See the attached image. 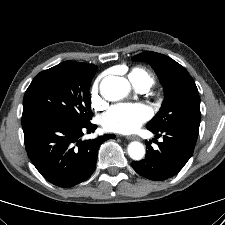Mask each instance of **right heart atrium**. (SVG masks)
<instances>
[{"label": "right heart atrium", "instance_id": "d8ad5b80", "mask_svg": "<svg viewBox=\"0 0 225 225\" xmlns=\"http://www.w3.org/2000/svg\"><path fill=\"white\" fill-rule=\"evenodd\" d=\"M91 102L95 108H101L104 105V101L99 93V79H97L93 84Z\"/></svg>", "mask_w": 225, "mask_h": 225}]
</instances>
